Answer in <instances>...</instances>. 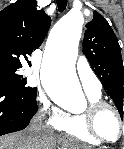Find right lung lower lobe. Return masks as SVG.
Returning <instances> with one entry per match:
<instances>
[{
    "label": "right lung lower lobe",
    "mask_w": 124,
    "mask_h": 149,
    "mask_svg": "<svg viewBox=\"0 0 124 149\" xmlns=\"http://www.w3.org/2000/svg\"><path fill=\"white\" fill-rule=\"evenodd\" d=\"M36 94L0 80V136L27 127L37 112Z\"/></svg>",
    "instance_id": "right-lung-lower-lobe-1"
}]
</instances>
